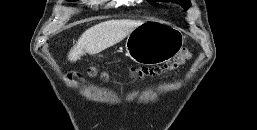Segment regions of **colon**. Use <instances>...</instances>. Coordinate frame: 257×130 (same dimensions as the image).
Returning <instances> with one entry per match:
<instances>
[{
  "label": "colon",
  "instance_id": "obj_1",
  "mask_svg": "<svg viewBox=\"0 0 257 130\" xmlns=\"http://www.w3.org/2000/svg\"><path fill=\"white\" fill-rule=\"evenodd\" d=\"M191 57V52L189 49H183L174 59L165 63L162 66L153 67H133L130 69V74L138 79H143L145 77H152L159 75L163 72L174 71L181 66H183ZM88 73L91 76L100 75L102 78L107 79L108 74L104 71L100 72L97 67L91 66L88 68Z\"/></svg>",
  "mask_w": 257,
  "mask_h": 130
}]
</instances>
